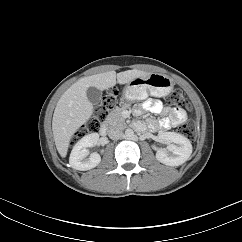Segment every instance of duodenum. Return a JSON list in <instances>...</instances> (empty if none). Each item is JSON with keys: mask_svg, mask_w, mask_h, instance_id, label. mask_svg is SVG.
Wrapping results in <instances>:
<instances>
[{"mask_svg": "<svg viewBox=\"0 0 242 242\" xmlns=\"http://www.w3.org/2000/svg\"><path fill=\"white\" fill-rule=\"evenodd\" d=\"M100 133H101L102 135H107V133H108V127H107L106 124H103V125L101 126Z\"/></svg>", "mask_w": 242, "mask_h": 242, "instance_id": "410a0bca", "label": "duodenum"}]
</instances>
